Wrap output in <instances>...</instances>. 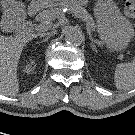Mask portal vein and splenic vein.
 I'll list each match as a JSON object with an SVG mask.
<instances>
[{
  "mask_svg": "<svg viewBox=\"0 0 135 135\" xmlns=\"http://www.w3.org/2000/svg\"><path fill=\"white\" fill-rule=\"evenodd\" d=\"M46 29H48V25H42V24H40V25L38 26V30H40V31L46 30Z\"/></svg>",
  "mask_w": 135,
  "mask_h": 135,
  "instance_id": "1",
  "label": "portal vein and splenic vein"
}]
</instances>
